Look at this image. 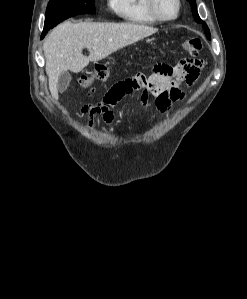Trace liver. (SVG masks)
Returning <instances> with one entry per match:
<instances>
[{"label": "liver", "mask_w": 247, "mask_h": 299, "mask_svg": "<svg viewBox=\"0 0 247 299\" xmlns=\"http://www.w3.org/2000/svg\"><path fill=\"white\" fill-rule=\"evenodd\" d=\"M158 29L133 23L65 21L55 27L43 44L49 90L58 99L61 73L82 71L89 62L100 61L115 51L153 35ZM86 48L89 56L83 55Z\"/></svg>", "instance_id": "liver-1"}]
</instances>
